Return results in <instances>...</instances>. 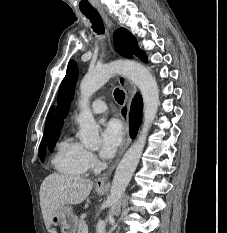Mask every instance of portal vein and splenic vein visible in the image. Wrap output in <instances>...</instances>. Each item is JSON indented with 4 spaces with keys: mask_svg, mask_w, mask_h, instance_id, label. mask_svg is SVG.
<instances>
[{
    "mask_svg": "<svg viewBox=\"0 0 227 233\" xmlns=\"http://www.w3.org/2000/svg\"><path fill=\"white\" fill-rule=\"evenodd\" d=\"M83 233H88V228L87 227L84 229Z\"/></svg>",
    "mask_w": 227,
    "mask_h": 233,
    "instance_id": "1",
    "label": "portal vein and splenic vein"
}]
</instances>
